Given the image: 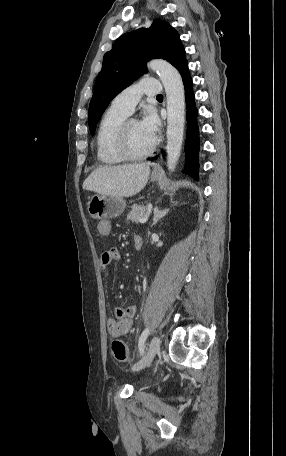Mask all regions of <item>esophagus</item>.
I'll return each instance as SVG.
<instances>
[{
  "mask_svg": "<svg viewBox=\"0 0 286 456\" xmlns=\"http://www.w3.org/2000/svg\"><path fill=\"white\" fill-rule=\"evenodd\" d=\"M153 171H154V172H160V171H162V168H161V166H160L159 164H156V165L154 166V168H153Z\"/></svg>",
  "mask_w": 286,
  "mask_h": 456,
  "instance_id": "esophagus-1",
  "label": "esophagus"
}]
</instances>
